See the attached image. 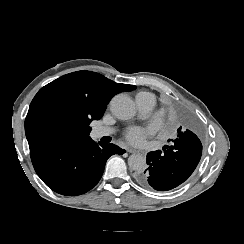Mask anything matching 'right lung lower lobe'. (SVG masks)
<instances>
[{"mask_svg": "<svg viewBox=\"0 0 244 244\" xmlns=\"http://www.w3.org/2000/svg\"><path fill=\"white\" fill-rule=\"evenodd\" d=\"M96 144L91 137L81 140L42 139L29 142L34 169L53 191L81 195L100 180L107 159L125 150L114 144Z\"/></svg>", "mask_w": 244, "mask_h": 244, "instance_id": "obj_1", "label": "right lung lower lobe"}]
</instances>
